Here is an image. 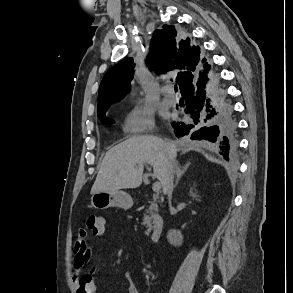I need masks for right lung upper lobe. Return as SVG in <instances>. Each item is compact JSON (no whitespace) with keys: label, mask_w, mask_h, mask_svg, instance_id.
<instances>
[{"label":"right lung upper lobe","mask_w":293,"mask_h":293,"mask_svg":"<svg viewBox=\"0 0 293 293\" xmlns=\"http://www.w3.org/2000/svg\"><path fill=\"white\" fill-rule=\"evenodd\" d=\"M176 36L177 31L173 25H164L163 29L155 30L148 62L158 73H166L175 68L181 69L177 75L181 91L195 78L200 48L191 47L189 38L179 42ZM205 61L206 59H203L202 63ZM133 68V59L128 58L105 74L98 92V117L105 115L107 108L129 91L134 75Z\"/></svg>","instance_id":"obj_1"}]
</instances>
